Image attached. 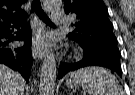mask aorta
Segmentation results:
<instances>
[{
	"mask_svg": "<svg viewBox=\"0 0 135 95\" xmlns=\"http://www.w3.org/2000/svg\"><path fill=\"white\" fill-rule=\"evenodd\" d=\"M44 7L47 11L59 9L62 0H44ZM57 69L53 53L46 55L43 61L40 74L39 95H54Z\"/></svg>",
	"mask_w": 135,
	"mask_h": 95,
	"instance_id": "762f6f07",
	"label": "aorta"
}]
</instances>
